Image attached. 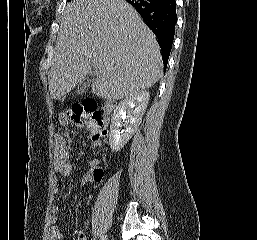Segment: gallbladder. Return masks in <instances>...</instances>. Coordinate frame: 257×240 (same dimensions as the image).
I'll use <instances>...</instances> for the list:
<instances>
[{
    "mask_svg": "<svg viewBox=\"0 0 257 240\" xmlns=\"http://www.w3.org/2000/svg\"><path fill=\"white\" fill-rule=\"evenodd\" d=\"M90 85V80L88 78L82 79L77 85V95L84 93Z\"/></svg>",
    "mask_w": 257,
    "mask_h": 240,
    "instance_id": "1",
    "label": "gallbladder"
}]
</instances>
